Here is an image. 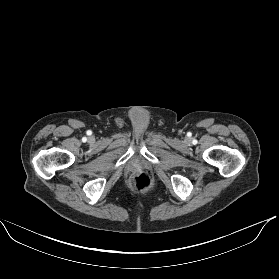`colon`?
<instances>
[{"label": "colon", "mask_w": 279, "mask_h": 279, "mask_svg": "<svg viewBox=\"0 0 279 279\" xmlns=\"http://www.w3.org/2000/svg\"><path fill=\"white\" fill-rule=\"evenodd\" d=\"M131 186L137 191H146L152 185V180L145 173L134 175L130 179Z\"/></svg>", "instance_id": "5ec220e1"}]
</instances>
